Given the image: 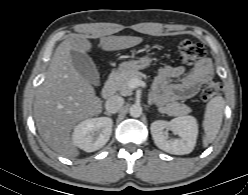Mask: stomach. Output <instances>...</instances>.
I'll return each mask as SVG.
<instances>
[{"instance_id":"0dacf381","label":"stomach","mask_w":248,"mask_h":195,"mask_svg":"<svg viewBox=\"0 0 248 195\" xmlns=\"http://www.w3.org/2000/svg\"><path fill=\"white\" fill-rule=\"evenodd\" d=\"M151 62H152V58L148 55L138 60L122 62L117 69V73H122L132 70H142L149 67Z\"/></svg>"}]
</instances>
